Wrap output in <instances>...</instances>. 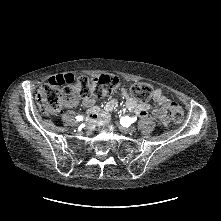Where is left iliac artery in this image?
<instances>
[{"label": "left iliac artery", "instance_id": "left-iliac-artery-1", "mask_svg": "<svg viewBox=\"0 0 221 221\" xmlns=\"http://www.w3.org/2000/svg\"><path fill=\"white\" fill-rule=\"evenodd\" d=\"M137 120V117H128L124 116L120 119V123L123 127H129L132 123H134Z\"/></svg>", "mask_w": 221, "mask_h": 221}]
</instances>
